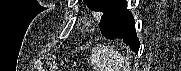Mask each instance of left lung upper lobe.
Returning <instances> with one entry per match:
<instances>
[{"instance_id": "left-lung-upper-lobe-1", "label": "left lung upper lobe", "mask_w": 181, "mask_h": 71, "mask_svg": "<svg viewBox=\"0 0 181 71\" xmlns=\"http://www.w3.org/2000/svg\"><path fill=\"white\" fill-rule=\"evenodd\" d=\"M84 3L94 11L108 12L118 0H83Z\"/></svg>"}]
</instances>
